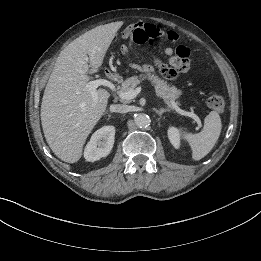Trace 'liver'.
<instances>
[{
	"label": "liver",
	"mask_w": 261,
	"mask_h": 261,
	"mask_svg": "<svg viewBox=\"0 0 261 261\" xmlns=\"http://www.w3.org/2000/svg\"><path fill=\"white\" fill-rule=\"evenodd\" d=\"M116 31L115 25L108 24L76 38L61 51L49 77L41 123L49 147L65 162L75 163L81 158L87 137L106 110L110 93L100 88L95 99L86 84L88 73H95L102 65Z\"/></svg>",
	"instance_id": "6515ba94"
}]
</instances>
